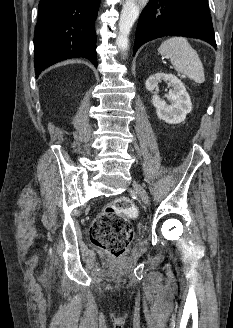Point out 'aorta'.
Listing matches in <instances>:
<instances>
[{
  "instance_id": "aorta-1",
  "label": "aorta",
  "mask_w": 233,
  "mask_h": 328,
  "mask_svg": "<svg viewBox=\"0 0 233 328\" xmlns=\"http://www.w3.org/2000/svg\"><path fill=\"white\" fill-rule=\"evenodd\" d=\"M149 0H126L120 21L119 33L116 39V45L122 51H126L129 46L128 36L135 20L137 19L140 10L147 4Z\"/></svg>"
}]
</instances>
